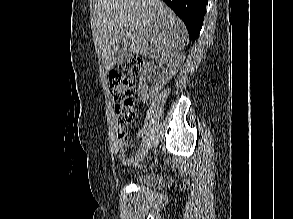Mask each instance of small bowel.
<instances>
[{
	"mask_svg": "<svg viewBox=\"0 0 293 219\" xmlns=\"http://www.w3.org/2000/svg\"><path fill=\"white\" fill-rule=\"evenodd\" d=\"M117 142L119 146V160L122 164H130L132 158L126 155L125 148L129 145V137L126 133L118 130L117 132Z\"/></svg>",
	"mask_w": 293,
	"mask_h": 219,
	"instance_id": "obj_1",
	"label": "small bowel"
}]
</instances>
